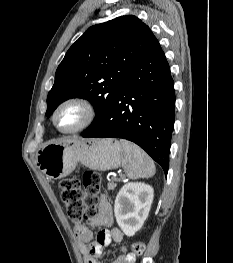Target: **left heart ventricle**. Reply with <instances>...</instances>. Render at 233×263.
Returning <instances> with one entry per match:
<instances>
[{
	"instance_id": "obj_1",
	"label": "left heart ventricle",
	"mask_w": 233,
	"mask_h": 263,
	"mask_svg": "<svg viewBox=\"0 0 233 263\" xmlns=\"http://www.w3.org/2000/svg\"><path fill=\"white\" fill-rule=\"evenodd\" d=\"M84 119V112L78 106H67L63 108L58 116V126L63 130H70L78 126Z\"/></svg>"
}]
</instances>
